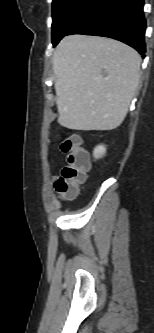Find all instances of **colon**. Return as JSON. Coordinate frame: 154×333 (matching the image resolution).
Returning <instances> with one entry per match:
<instances>
[{"label": "colon", "mask_w": 154, "mask_h": 333, "mask_svg": "<svg viewBox=\"0 0 154 333\" xmlns=\"http://www.w3.org/2000/svg\"><path fill=\"white\" fill-rule=\"evenodd\" d=\"M60 149L67 155V159L61 174L54 182V189L63 199H71L76 196L79 186L86 179L88 156L81 147L79 138L73 134L61 140Z\"/></svg>", "instance_id": "colon-1"}]
</instances>
